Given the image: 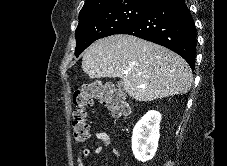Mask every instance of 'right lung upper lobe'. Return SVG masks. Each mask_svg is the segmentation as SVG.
Listing matches in <instances>:
<instances>
[{"instance_id":"right-lung-upper-lobe-1","label":"right lung upper lobe","mask_w":227,"mask_h":166,"mask_svg":"<svg viewBox=\"0 0 227 166\" xmlns=\"http://www.w3.org/2000/svg\"><path fill=\"white\" fill-rule=\"evenodd\" d=\"M160 0H86L79 14L95 11L108 6L119 5L124 3L137 2L154 6Z\"/></svg>"}]
</instances>
